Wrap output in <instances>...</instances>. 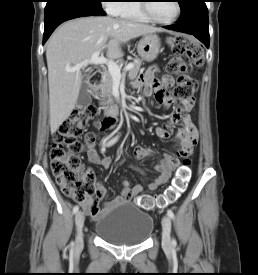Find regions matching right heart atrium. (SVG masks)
<instances>
[{
	"label": "right heart atrium",
	"mask_w": 258,
	"mask_h": 275,
	"mask_svg": "<svg viewBox=\"0 0 258 275\" xmlns=\"http://www.w3.org/2000/svg\"><path fill=\"white\" fill-rule=\"evenodd\" d=\"M105 5L107 7V10L111 13V14H115V12L118 10L121 1L118 0H106L105 1Z\"/></svg>",
	"instance_id": "d8ad5b80"
}]
</instances>
